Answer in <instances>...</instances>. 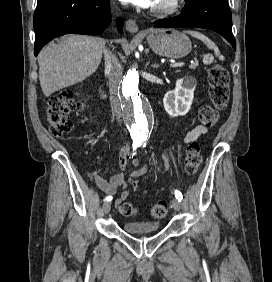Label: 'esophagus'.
<instances>
[{"label": "esophagus", "instance_id": "esophagus-1", "mask_svg": "<svg viewBox=\"0 0 272 282\" xmlns=\"http://www.w3.org/2000/svg\"><path fill=\"white\" fill-rule=\"evenodd\" d=\"M126 29L127 31H129L130 33H137L138 32V25L136 24V22L132 19H128L126 21Z\"/></svg>", "mask_w": 272, "mask_h": 282}]
</instances>
